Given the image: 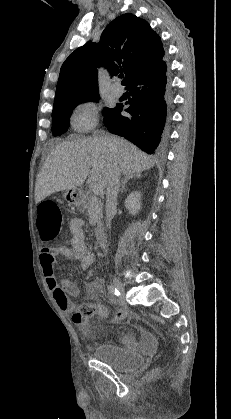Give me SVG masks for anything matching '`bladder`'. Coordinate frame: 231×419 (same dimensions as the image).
I'll list each match as a JSON object with an SVG mask.
<instances>
[{"label":"bladder","mask_w":231,"mask_h":419,"mask_svg":"<svg viewBox=\"0 0 231 419\" xmlns=\"http://www.w3.org/2000/svg\"><path fill=\"white\" fill-rule=\"evenodd\" d=\"M93 357L119 372L139 368L145 360L142 354L130 352L110 342L100 343L94 349Z\"/></svg>","instance_id":"1"}]
</instances>
